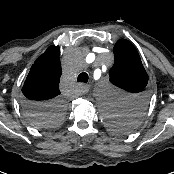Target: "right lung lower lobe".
<instances>
[{"label": "right lung lower lobe", "instance_id": "obj_1", "mask_svg": "<svg viewBox=\"0 0 174 174\" xmlns=\"http://www.w3.org/2000/svg\"><path fill=\"white\" fill-rule=\"evenodd\" d=\"M45 104H32V103H29V102H25L24 104V108L25 107H28V106H33V107H39V106H44Z\"/></svg>", "mask_w": 174, "mask_h": 174}]
</instances>
